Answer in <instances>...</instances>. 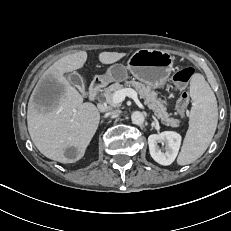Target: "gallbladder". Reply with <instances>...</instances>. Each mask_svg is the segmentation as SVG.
<instances>
[{"mask_svg":"<svg viewBox=\"0 0 231 231\" xmlns=\"http://www.w3.org/2000/svg\"><path fill=\"white\" fill-rule=\"evenodd\" d=\"M68 79L72 85L76 86L79 90L83 91V93L86 94L84 92V81L78 73L73 72L69 74Z\"/></svg>","mask_w":231,"mask_h":231,"instance_id":"obj_1","label":"gallbladder"}]
</instances>
